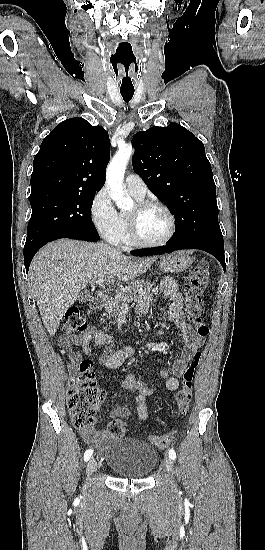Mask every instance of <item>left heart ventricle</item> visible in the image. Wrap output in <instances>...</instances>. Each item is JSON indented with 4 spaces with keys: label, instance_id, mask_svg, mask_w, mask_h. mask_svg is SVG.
Wrapping results in <instances>:
<instances>
[{
    "label": "left heart ventricle",
    "instance_id": "left-heart-ventricle-1",
    "mask_svg": "<svg viewBox=\"0 0 265 550\" xmlns=\"http://www.w3.org/2000/svg\"><path fill=\"white\" fill-rule=\"evenodd\" d=\"M135 211V207L131 212ZM169 219L160 209L151 208L138 217V231L140 237L149 242L162 240L168 233Z\"/></svg>",
    "mask_w": 265,
    "mask_h": 550
}]
</instances>
